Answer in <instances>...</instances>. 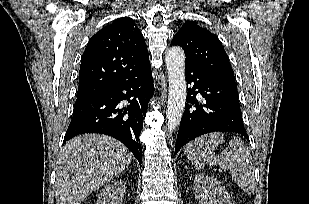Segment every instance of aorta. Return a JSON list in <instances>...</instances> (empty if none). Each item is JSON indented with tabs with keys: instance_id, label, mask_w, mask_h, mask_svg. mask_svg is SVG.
Instances as JSON below:
<instances>
[{
	"instance_id": "obj_1",
	"label": "aorta",
	"mask_w": 309,
	"mask_h": 204,
	"mask_svg": "<svg viewBox=\"0 0 309 204\" xmlns=\"http://www.w3.org/2000/svg\"><path fill=\"white\" fill-rule=\"evenodd\" d=\"M165 60L169 82L166 125L168 130L173 132L181 121L187 96L183 49L178 46L171 47L166 52Z\"/></svg>"
}]
</instances>
